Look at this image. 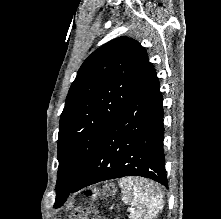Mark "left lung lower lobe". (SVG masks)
<instances>
[{"mask_svg": "<svg viewBox=\"0 0 221 219\" xmlns=\"http://www.w3.org/2000/svg\"><path fill=\"white\" fill-rule=\"evenodd\" d=\"M153 70L142 89L105 132L71 192L100 181L142 176L167 187L162 95Z\"/></svg>", "mask_w": 221, "mask_h": 219, "instance_id": "0a47b994", "label": "left lung lower lobe"}]
</instances>
